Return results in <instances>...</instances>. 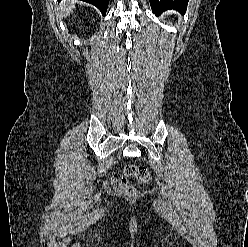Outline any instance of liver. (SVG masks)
Instances as JSON below:
<instances>
[{
  "mask_svg": "<svg viewBox=\"0 0 248 247\" xmlns=\"http://www.w3.org/2000/svg\"><path fill=\"white\" fill-rule=\"evenodd\" d=\"M74 8H75V2L70 0L64 1L61 5V10L64 13V16H68L73 11Z\"/></svg>",
  "mask_w": 248,
  "mask_h": 247,
  "instance_id": "1",
  "label": "liver"
}]
</instances>
